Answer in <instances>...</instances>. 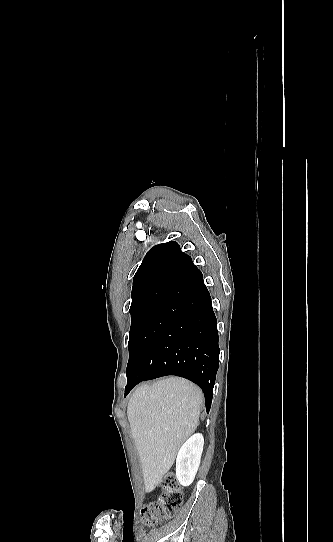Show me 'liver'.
Instances as JSON below:
<instances>
[{"instance_id":"obj_1","label":"liver","mask_w":333,"mask_h":542,"mask_svg":"<svg viewBox=\"0 0 333 542\" xmlns=\"http://www.w3.org/2000/svg\"><path fill=\"white\" fill-rule=\"evenodd\" d=\"M203 394L184 378H164L139 386L127 408L132 438L143 472L145 492H152L172 468L177 452L194 434Z\"/></svg>"}]
</instances>
